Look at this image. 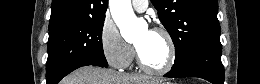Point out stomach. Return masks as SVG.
I'll return each instance as SVG.
<instances>
[{
    "label": "stomach",
    "instance_id": "0dacf381",
    "mask_svg": "<svg viewBox=\"0 0 260 84\" xmlns=\"http://www.w3.org/2000/svg\"><path fill=\"white\" fill-rule=\"evenodd\" d=\"M162 84H172V83H170V82H166V83H162Z\"/></svg>",
    "mask_w": 260,
    "mask_h": 84
}]
</instances>
